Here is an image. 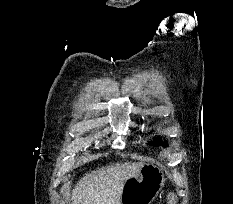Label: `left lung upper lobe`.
I'll return each mask as SVG.
<instances>
[{"label": "left lung upper lobe", "instance_id": "5c2ea615", "mask_svg": "<svg viewBox=\"0 0 233 204\" xmlns=\"http://www.w3.org/2000/svg\"><path fill=\"white\" fill-rule=\"evenodd\" d=\"M160 144H162L163 146H166V142H162L161 139L155 140V141L150 143V145H154V146H158Z\"/></svg>", "mask_w": 233, "mask_h": 204}]
</instances>
